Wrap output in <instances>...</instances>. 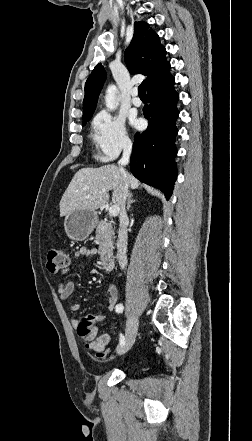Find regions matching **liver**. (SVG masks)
Masks as SVG:
<instances>
[{
  "label": "liver",
  "mask_w": 252,
  "mask_h": 441,
  "mask_svg": "<svg viewBox=\"0 0 252 441\" xmlns=\"http://www.w3.org/2000/svg\"><path fill=\"white\" fill-rule=\"evenodd\" d=\"M126 177L129 187L132 189L139 187L140 182L132 174H126ZM123 183L124 176L115 165L78 170L61 198L60 216H66L75 210L95 211L104 206L109 195L100 194L103 190H113L112 202L120 209Z\"/></svg>",
  "instance_id": "6515ba94"
}]
</instances>
